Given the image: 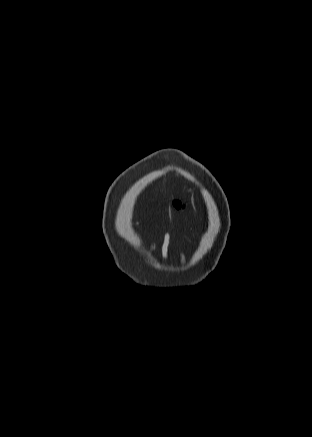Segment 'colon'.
Instances as JSON below:
<instances>
[{
  "instance_id": "5ec220e1",
  "label": "colon",
  "mask_w": 312,
  "mask_h": 437,
  "mask_svg": "<svg viewBox=\"0 0 312 437\" xmlns=\"http://www.w3.org/2000/svg\"><path fill=\"white\" fill-rule=\"evenodd\" d=\"M174 206H175L176 208H179L181 205H180L179 202H175V203H174Z\"/></svg>"
}]
</instances>
